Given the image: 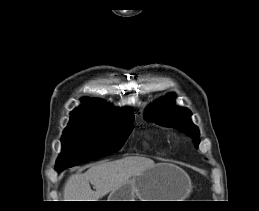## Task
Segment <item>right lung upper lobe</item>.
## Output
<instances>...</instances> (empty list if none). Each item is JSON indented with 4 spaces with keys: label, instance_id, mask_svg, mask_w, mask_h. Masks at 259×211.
<instances>
[{
    "label": "right lung upper lobe",
    "instance_id": "1",
    "mask_svg": "<svg viewBox=\"0 0 259 211\" xmlns=\"http://www.w3.org/2000/svg\"><path fill=\"white\" fill-rule=\"evenodd\" d=\"M72 116L75 115H87L93 117H113V116H125L132 115L133 110L131 108H127L125 110L115 109L112 106H107L100 101L92 100V99H83V104L72 111Z\"/></svg>",
    "mask_w": 259,
    "mask_h": 211
}]
</instances>
